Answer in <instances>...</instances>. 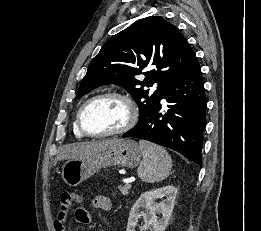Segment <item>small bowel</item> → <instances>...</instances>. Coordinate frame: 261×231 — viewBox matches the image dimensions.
<instances>
[{"mask_svg": "<svg viewBox=\"0 0 261 231\" xmlns=\"http://www.w3.org/2000/svg\"><path fill=\"white\" fill-rule=\"evenodd\" d=\"M78 199L81 200V197L78 196ZM91 207L95 209H100L103 211H108L111 208L110 199L106 196L98 195L95 196L92 200ZM75 219L80 225H88L91 222V213L89 209L78 208L75 211ZM66 221V215L59 212L54 221V228L56 231H64Z\"/></svg>", "mask_w": 261, "mask_h": 231, "instance_id": "obj_1", "label": "small bowel"}]
</instances>
